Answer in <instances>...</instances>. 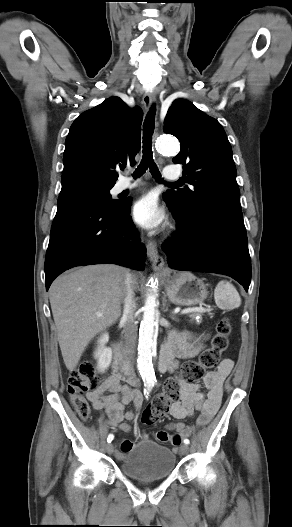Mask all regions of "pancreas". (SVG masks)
Instances as JSON below:
<instances>
[{
    "instance_id": "1",
    "label": "pancreas",
    "mask_w": 292,
    "mask_h": 527,
    "mask_svg": "<svg viewBox=\"0 0 292 527\" xmlns=\"http://www.w3.org/2000/svg\"><path fill=\"white\" fill-rule=\"evenodd\" d=\"M189 317L191 318V322H195L196 324H200L201 323V314L200 312H193L189 315Z\"/></svg>"
}]
</instances>
